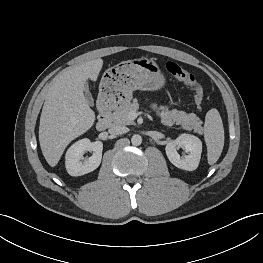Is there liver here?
<instances>
[{
  "label": "liver",
  "mask_w": 263,
  "mask_h": 263,
  "mask_svg": "<svg viewBox=\"0 0 263 263\" xmlns=\"http://www.w3.org/2000/svg\"><path fill=\"white\" fill-rule=\"evenodd\" d=\"M101 58L70 67L50 85L39 125L40 147L47 163L54 167L67 145L88 131L95 112L84 96L88 79L96 81L102 69Z\"/></svg>",
  "instance_id": "1"
}]
</instances>
